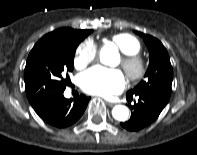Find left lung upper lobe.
Here are the masks:
<instances>
[{
    "label": "left lung upper lobe",
    "mask_w": 197,
    "mask_h": 155,
    "mask_svg": "<svg viewBox=\"0 0 197 155\" xmlns=\"http://www.w3.org/2000/svg\"><path fill=\"white\" fill-rule=\"evenodd\" d=\"M137 34L143 37L149 50L150 63L142 80L134 89L127 94H142L152 96L168 103L171 95L173 80V69L166 48L156 38L140 32Z\"/></svg>",
    "instance_id": "obj_1"
}]
</instances>
